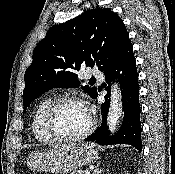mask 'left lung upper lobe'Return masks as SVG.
<instances>
[{"label": "left lung upper lobe", "instance_id": "5c2ea615", "mask_svg": "<svg viewBox=\"0 0 175 174\" xmlns=\"http://www.w3.org/2000/svg\"><path fill=\"white\" fill-rule=\"evenodd\" d=\"M122 19L111 9H92L52 27L33 51V62L25 72L24 112L46 91L80 86L75 70L96 65L107 70L130 44ZM83 89L94 97L95 87Z\"/></svg>", "mask_w": 175, "mask_h": 174}]
</instances>
